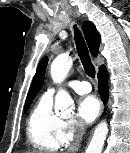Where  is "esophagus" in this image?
I'll return each instance as SVG.
<instances>
[{"instance_id":"obj_1","label":"esophagus","mask_w":130,"mask_h":153,"mask_svg":"<svg viewBox=\"0 0 130 153\" xmlns=\"http://www.w3.org/2000/svg\"><path fill=\"white\" fill-rule=\"evenodd\" d=\"M102 111H103V107L101 108L100 114L102 113Z\"/></svg>"}]
</instances>
